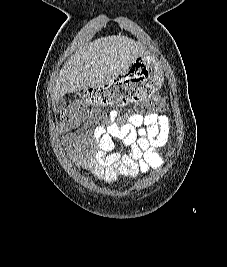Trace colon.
<instances>
[{"label":"colon","instance_id":"obj_1","mask_svg":"<svg viewBox=\"0 0 227 267\" xmlns=\"http://www.w3.org/2000/svg\"><path fill=\"white\" fill-rule=\"evenodd\" d=\"M95 105V104H94ZM166 108V102L162 98H154L146 101L144 105H137L138 116L145 115H160ZM136 109V106H133ZM105 110H96V114H91L87 104L84 101L78 100L71 103L62 113L61 123L59 125L61 130L74 128L79 126L86 119H104Z\"/></svg>","mask_w":227,"mask_h":267}]
</instances>
